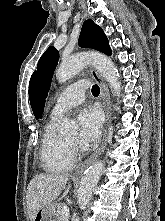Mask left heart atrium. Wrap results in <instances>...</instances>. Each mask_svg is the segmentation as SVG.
<instances>
[{
  "label": "left heart atrium",
  "instance_id": "left-heart-atrium-1",
  "mask_svg": "<svg viewBox=\"0 0 165 221\" xmlns=\"http://www.w3.org/2000/svg\"><path fill=\"white\" fill-rule=\"evenodd\" d=\"M80 126L79 143L83 148L91 147L100 137L102 128V116L98 109L84 108L78 114Z\"/></svg>",
  "mask_w": 165,
  "mask_h": 221
}]
</instances>
